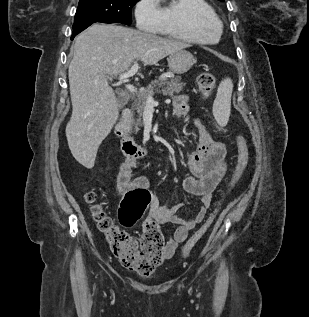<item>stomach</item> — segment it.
<instances>
[{
  "label": "stomach",
  "mask_w": 309,
  "mask_h": 317,
  "mask_svg": "<svg viewBox=\"0 0 309 317\" xmlns=\"http://www.w3.org/2000/svg\"><path fill=\"white\" fill-rule=\"evenodd\" d=\"M196 63L195 57L186 50H179L168 58V66L172 73L184 74Z\"/></svg>",
  "instance_id": "1"
}]
</instances>
